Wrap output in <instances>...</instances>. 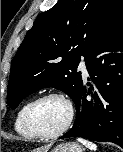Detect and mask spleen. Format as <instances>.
<instances>
[{"mask_svg": "<svg viewBox=\"0 0 123 152\" xmlns=\"http://www.w3.org/2000/svg\"><path fill=\"white\" fill-rule=\"evenodd\" d=\"M77 140L80 143H82L84 146H86L87 148H89L91 151H96L97 150L96 144L92 143L91 141H88V140L83 139V138H78Z\"/></svg>", "mask_w": 123, "mask_h": 152, "instance_id": "spleen-1", "label": "spleen"}]
</instances>
